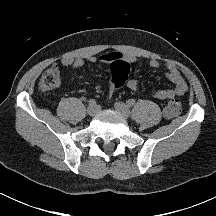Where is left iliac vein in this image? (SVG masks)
Instances as JSON below:
<instances>
[{"label": "left iliac vein", "instance_id": "obj_1", "mask_svg": "<svg viewBox=\"0 0 216 216\" xmlns=\"http://www.w3.org/2000/svg\"><path fill=\"white\" fill-rule=\"evenodd\" d=\"M114 108L117 112H119L124 118H128L130 116V110L128 106L122 102H116L114 104Z\"/></svg>", "mask_w": 216, "mask_h": 216}]
</instances>
